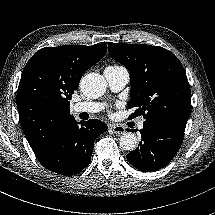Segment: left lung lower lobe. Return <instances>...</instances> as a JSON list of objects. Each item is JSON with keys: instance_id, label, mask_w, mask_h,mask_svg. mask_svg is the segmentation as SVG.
Listing matches in <instances>:
<instances>
[{"instance_id": "obj_1", "label": "left lung lower lobe", "mask_w": 215, "mask_h": 215, "mask_svg": "<svg viewBox=\"0 0 215 215\" xmlns=\"http://www.w3.org/2000/svg\"><path fill=\"white\" fill-rule=\"evenodd\" d=\"M188 119L161 118L144 122L141 144L127 154V160L143 172L159 170L169 164L184 138Z\"/></svg>"}]
</instances>
